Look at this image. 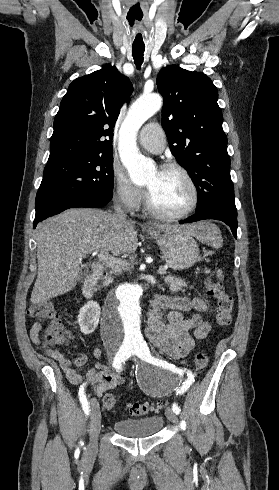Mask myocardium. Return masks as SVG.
<instances>
[{
  "instance_id": "f54148a6",
  "label": "myocardium",
  "mask_w": 279,
  "mask_h": 490,
  "mask_svg": "<svg viewBox=\"0 0 279 490\" xmlns=\"http://www.w3.org/2000/svg\"><path fill=\"white\" fill-rule=\"evenodd\" d=\"M161 170L162 171H174V172L181 174L184 177V179L186 180V182L190 188L191 198H190V201L188 202V204L181 211L176 212V213H166L164 211H161L160 209H158L155 206V204L151 198V195H150V189L148 188V192H147V208H148V211L153 216H155L156 218L161 219V220H165V221H176V220L182 219L185 216L189 215L196 208V206L199 202L198 187H197L193 177L189 173V171L178 163H167L161 168Z\"/></svg>"
}]
</instances>
